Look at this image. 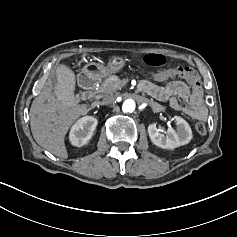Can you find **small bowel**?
<instances>
[{
  "label": "small bowel",
  "instance_id": "1",
  "mask_svg": "<svg viewBox=\"0 0 237 237\" xmlns=\"http://www.w3.org/2000/svg\"><path fill=\"white\" fill-rule=\"evenodd\" d=\"M174 70H166L153 74L156 81L166 82L173 77ZM139 89L150 96L169 101L172 108L182 111L197 120H206L209 115L207 103L204 99L203 87L197 75L185 82H168L158 86L150 81H142Z\"/></svg>",
  "mask_w": 237,
  "mask_h": 237
}]
</instances>
